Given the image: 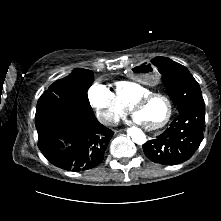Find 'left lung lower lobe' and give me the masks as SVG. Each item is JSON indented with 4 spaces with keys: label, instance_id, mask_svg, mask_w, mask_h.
I'll return each mask as SVG.
<instances>
[{
    "label": "left lung lower lobe",
    "instance_id": "1",
    "mask_svg": "<svg viewBox=\"0 0 221 221\" xmlns=\"http://www.w3.org/2000/svg\"><path fill=\"white\" fill-rule=\"evenodd\" d=\"M205 105L180 111L161 135L147 141L143 150L154 163L176 165L190 159L203 140Z\"/></svg>",
    "mask_w": 221,
    "mask_h": 221
}]
</instances>
